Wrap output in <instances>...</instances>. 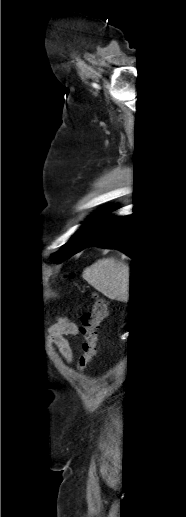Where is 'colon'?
<instances>
[{"mask_svg": "<svg viewBox=\"0 0 186 517\" xmlns=\"http://www.w3.org/2000/svg\"><path fill=\"white\" fill-rule=\"evenodd\" d=\"M107 315L108 303L100 297H95L91 309L81 315L80 331L83 336V344L77 365L80 371L85 370L96 355L98 331L101 322L107 317Z\"/></svg>", "mask_w": 186, "mask_h": 517, "instance_id": "5ec220e1", "label": "colon"}]
</instances>
